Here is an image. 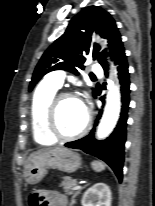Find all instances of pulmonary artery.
<instances>
[{
	"mask_svg": "<svg viewBox=\"0 0 155 206\" xmlns=\"http://www.w3.org/2000/svg\"><path fill=\"white\" fill-rule=\"evenodd\" d=\"M94 70L97 72V73H101V69L99 67L98 64H94ZM64 78H65V74L64 72L62 71H54V72H51L49 73L46 78H45V81L56 87V88H60L63 84V81H64Z\"/></svg>",
	"mask_w": 155,
	"mask_h": 206,
	"instance_id": "obj_1",
	"label": "pulmonary artery"
}]
</instances>
